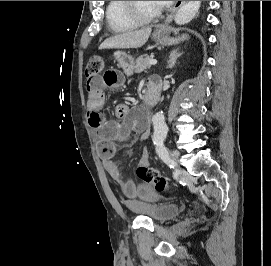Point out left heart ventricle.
<instances>
[{
	"instance_id": "left-heart-ventricle-1",
	"label": "left heart ventricle",
	"mask_w": 271,
	"mask_h": 266,
	"mask_svg": "<svg viewBox=\"0 0 271 266\" xmlns=\"http://www.w3.org/2000/svg\"><path fill=\"white\" fill-rule=\"evenodd\" d=\"M137 10L145 16H152L160 12L154 1H135Z\"/></svg>"
}]
</instances>
